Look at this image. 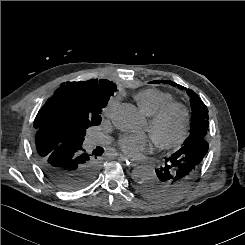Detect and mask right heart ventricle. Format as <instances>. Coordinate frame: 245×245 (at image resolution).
I'll return each mask as SVG.
<instances>
[{
  "label": "right heart ventricle",
  "mask_w": 245,
  "mask_h": 245,
  "mask_svg": "<svg viewBox=\"0 0 245 245\" xmlns=\"http://www.w3.org/2000/svg\"><path fill=\"white\" fill-rule=\"evenodd\" d=\"M140 109L147 116H153L166 105L174 102V97L168 92L158 89H146L135 95Z\"/></svg>",
  "instance_id": "e07e8e85"
}]
</instances>
